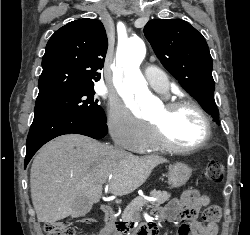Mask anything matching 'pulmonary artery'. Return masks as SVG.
Instances as JSON below:
<instances>
[{"label": "pulmonary artery", "mask_w": 250, "mask_h": 235, "mask_svg": "<svg viewBox=\"0 0 250 235\" xmlns=\"http://www.w3.org/2000/svg\"><path fill=\"white\" fill-rule=\"evenodd\" d=\"M147 81L150 87L158 93L166 94L169 90L167 76L156 68L147 70Z\"/></svg>", "instance_id": "pulmonary-artery-1"}]
</instances>
